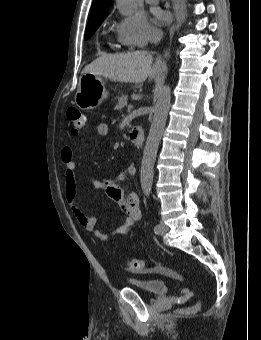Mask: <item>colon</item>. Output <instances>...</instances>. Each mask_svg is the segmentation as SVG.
Here are the masks:
<instances>
[{
    "label": "colon",
    "mask_w": 261,
    "mask_h": 340,
    "mask_svg": "<svg viewBox=\"0 0 261 340\" xmlns=\"http://www.w3.org/2000/svg\"><path fill=\"white\" fill-rule=\"evenodd\" d=\"M67 121L72 134H78L85 124V118L79 109L70 107L67 110ZM143 267V261L138 258H133L128 261V268L131 271H139ZM199 308V303L182 310L183 312H193Z\"/></svg>",
    "instance_id": "5ec220e1"
}]
</instances>
